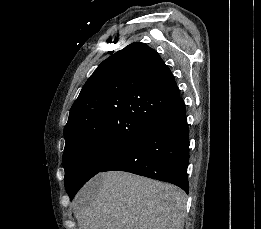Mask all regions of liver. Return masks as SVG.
I'll return each mask as SVG.
<instances>
[{
	"label": "liver",
	"instance_id": "obj_1",
	"mask_svg": "<svg viewBox=\"0 0 261 229\" xmlns=\"http://www.w3.org/2000/svg\"><path fill=\"white\" fill-rule=\"evenodd\" d=\"M185 211L178 187L120 171L99 173L73 201L79 229H183Z\"/></svg>",
	"mask_w": 261,
	"mask_h": 229
}]
</instances>
